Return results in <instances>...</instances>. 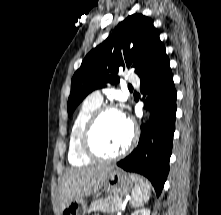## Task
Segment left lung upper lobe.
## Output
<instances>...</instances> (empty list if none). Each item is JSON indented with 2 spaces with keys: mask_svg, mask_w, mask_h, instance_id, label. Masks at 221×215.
<instances>
[{
  "mask_svg": "<svg viewBox=\"0 0 221 215\" xmlns=\"http://www.w3.org/2000/svg\"><path fill=\"white\" fill-rule=\"evenodd\" d=\"M164 48L151 18L133 14L120 22L112 34L92 49L71 81L68 115L93 90L119 82V70L133 69L141 76Z\"/></svg>",
  "mask_w": 221,
  "mask_h": 215,
  "instance_id": "obj_1",
  "label": "left lung upper lobe"
}]
</instances>
